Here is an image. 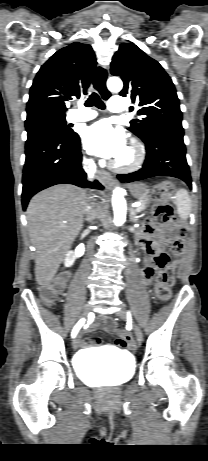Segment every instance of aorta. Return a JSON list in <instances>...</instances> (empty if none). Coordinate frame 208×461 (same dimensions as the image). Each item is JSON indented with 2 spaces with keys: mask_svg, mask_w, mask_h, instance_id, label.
<instances>
[{
  "mask_svg": "<svg viewBox=\"0 0 208 461\" xmlns=\"http://www.w3.org/2000/svg\"><path fill=\"white\" fill-rule=\"evenodd\" d=\"M107 87L111 92H120L123 87V83L118 77H111L107 81ZM112 206L114 212V224L116 226H121L126 221L127 206L124 198V190L120 187H116L113 190Z\"/></svg>",
  "mask_w": 208,
  "mask_h": 461,
  "instance_id": "aorta-1",
  "label": "aorta"
}]
</instances>
